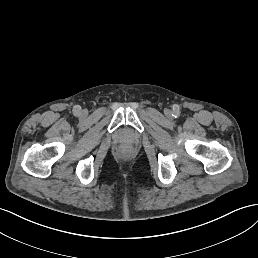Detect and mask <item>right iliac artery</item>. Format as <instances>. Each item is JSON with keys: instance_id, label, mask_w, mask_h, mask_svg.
Returning a JSON list of instances; mask_svg holds the SVG:
<instances>
[{"instance_id": "right-iliac-artery-1", "label": "right iliac artery", "mask_w": 258, "mask_h": 258, "mask_svg": "<svg viewBox=\"0 0 258 258\" xmlns=\"http://www.w3.org/2000/svg\"><path fill=\"white\" fill-rule=\"evenodd\" d=\"M73 114L74 116H79L81 114V107L79 105L73 107Z\"/></svg>"}]
</instances>
